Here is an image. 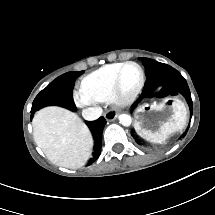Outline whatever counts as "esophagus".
Masks as SVG:
<instances>
[{
  "label": "esophagus",
  "mask_w": 215,
  "mask_h": 215,
  "mask_svg": "<svg viewBox=\"0 0 215 215\" xmlns=\"http://www.w3.org/2000/svg\"><path fill=\"white\" fill-rule=\"evenodd\" d=\"M108 122L114 121L117 118V113L114 111H107L104 115Z\"/></svg>",
  "instance_id": "34e87169"
}]
</instances>
